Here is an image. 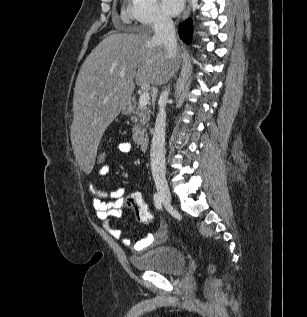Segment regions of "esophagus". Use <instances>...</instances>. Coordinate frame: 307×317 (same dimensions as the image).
<instances>
[{
	"label": "esophagus",
	"instance_id": "1",
	"mask_svg": "<svg viewBox=\"0 0 307 317\" xmlns=\"http://www.w3.org/2000/svg\"><path fill=\"white\" fill-rule=\"evenodd\" d=\"M190 10H191V0H187L186 8H185V11L183 13V19H186L189 16Z\"/></svg>",
	"mask_w": 307,
	"mask_h": 317
}]
</instances>
